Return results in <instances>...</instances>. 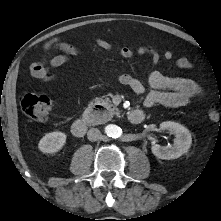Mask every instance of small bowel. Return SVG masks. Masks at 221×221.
<instances>
[{
    "label": "small bowel",
    "mask_w": 221,
    "mask_h": 221,
    "mask_svg": "<svg viewBox=\"0 0 221 221\" xmlns=\"http://www.w3.org/2000/svg\"><path fill=\"white\" fill-rule=\"evenodd\" d=\"M98 45L104 49H113L108 43L102 40L98 41ZM43 50L46 53L53 50H60L62 54L31 63L29 67L30 74L33 78L40 81L55 80L57 76L50 69L66 64L71 56L81 53L78 47L62 43L59 38H53L45 42ZM115 52L125 59H132L135 54H148L151 56L152 64L155 66L161 60L160 54L151 47L141 46L136 49L121 47L115 49ZM172 57L171 51L167 50L164 52L163 58L166 61H170ZM175 67L178 69H189L192 67V64L187 58L182 57L175 61ZM118 80L121 84L129 86L136 94H143L145 92L144 84L130 74H121L118 76ZM147 82L150 89L143 102L144 108H151L154 105L184 107L192 99L202 95V90L195 81L188 78L166 75L160 71H152L148 75Z\"/></svg>",
    "instance_id": "c3829d8e"
}]
</instances>
